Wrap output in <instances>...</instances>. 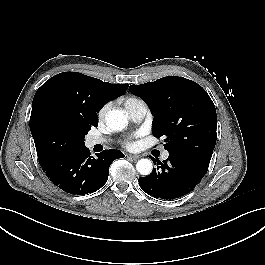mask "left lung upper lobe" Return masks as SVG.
I'll return each instance as SVG.
<instances>
[{"label":"left lung upper lobe","instance_id":"obj_1","mask_svg":"<svg viewBox=\"0 0 265 265\" xmlns=\"http://www.w3.org/2000/svg\"><path fill=\"white\" fill-rule=\"evenodd\" d=\"M129 89L151 109L152 133L165 138L169 156L208 168L217 138L216 109L208 93L196 82L175 76Z\"/></svg>","mask_w":265,"mask_h":265}]
</instances>
